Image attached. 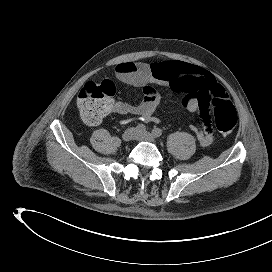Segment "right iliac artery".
Segmentation results:
<instances>
[{
  "instance_id": "obj_1",
  "label": "right iliac artery",
  "mask_w": 272,
  "mask_h": 272,
  "mask_svg": "<svg viewBox=\"0 0 272 272\" xmlns=\"http://www.w3.org/2000/svg\"><path fill=\"white\" fill-rule=\"evenodd\" d=\"M136 130H137V132H145L146 131V127H145L144 124H138L136 126Z\"/></svg>"
}]
</instances>
